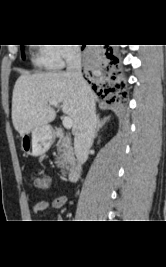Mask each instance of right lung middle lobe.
<instances>
[{"mask_svg": "<svg viewBox=\"0 0 166 267\" xmlns=\"http://www.w3.org/2000/svg\"><path fill=\"white\" fill-rule=\"evenodd\" d=\"M22 57L24 58L23 48H22Z\"/></svg>", "mask_w": 166, "mask_h": 267, "instance_id": "dd1d6c3e", "label": "right lung middle lobe"}]
</instances>
